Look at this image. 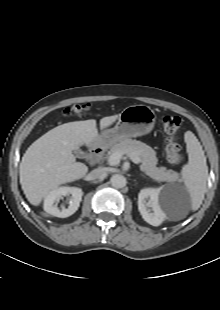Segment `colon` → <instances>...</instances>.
<instances>
[{"instance_id": "colon-1", "label": "colon", "mask_w": 220, "mask_h": 310, "mask_svg": "<svg viewBox=\"0 0 220 310\" xmlns=\"http://www.w3.org/2000/svg\"><path fill=\"white\" fill-rule=\"evenodd\" d=\"M89 110V105L87 104H77L64 111L65 116L70 115H82ZM162 127L167 134V146L166 152L168 159L175 164L182 162L183 157L180 153L181 146L177 140V132L181 126V119L177 115H164L161 119Z\"/></svg>"}]
</instances>
